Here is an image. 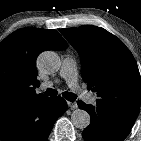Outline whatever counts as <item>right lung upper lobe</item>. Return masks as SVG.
<instances>
[{
	"mask_svg": "<svg viewBox=\"0 0 141 141\" xmlns=\"http://www.w3.org/2000/svg\"><path fill=\"white\" fill-rule=\"evenodd\" d=\"M66 41L55 30L23 28L0 43V116L29 102L46 99L36 94V58L46 50H64Z\"/></svg>",
	"mask_w": 141,
	"mask_h": 141,
	"instance_id": "1",
	"label": "right lung upper lobe"
}]
</instances>
